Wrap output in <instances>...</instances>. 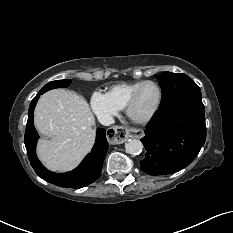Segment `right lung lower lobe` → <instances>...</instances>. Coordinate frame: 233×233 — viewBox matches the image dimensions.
<instances>
[{
  "instance_id": "98d812e1",
  "label": "right lung lower lobe",
  "mask_w": 233,
  "mask_h": 233,
  "mask_svg": "<svg viewBox=\"0 0 233 233\" xmlns=\"http://www.w3.org/2000/svg\"><path fill=\"white\" fill-rule=\"evenodd\" d=\"M41 94L43 93L38 92L30 104L24 137L31 166L39 177L57 186L81 188L93 183L100 177L103 160L109 147L106 139V130L103 128L97 130L96 143L91 153L86 156L76 169L64 174L48 171L37 159L35 153L36 143L39 137L33 123V111Z\"/></svg>"
}]
</instances>
